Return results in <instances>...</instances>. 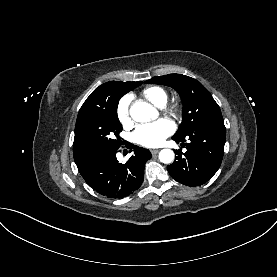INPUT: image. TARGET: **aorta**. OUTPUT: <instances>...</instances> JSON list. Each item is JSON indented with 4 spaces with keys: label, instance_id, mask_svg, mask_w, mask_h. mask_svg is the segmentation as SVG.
<instances>
[{
    "label": "aorta",
    "instance_id": "1",
    "mask_svg": "<svg viewBox=\"0 0 277 277\" xmlns=\"http://www.w3.org/2000/svg\"><path fill=\"white\" fill-rule=\"evenodd\" d=\"M130 115L137 122H147L158 115L157 110L146 102H136L130 108ZM162 163L169 164L174 160V152L171 149H163L159 153Z\"/></svg>",
    "mask_w": 277,
    "mask_h": 277
}]
</instances>
